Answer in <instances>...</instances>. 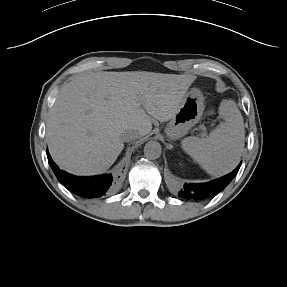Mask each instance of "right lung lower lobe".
Here are the masks:
<instances>
[{
  "mask_svg": "<svg viewBox=\"0 0 287 287\" xmlns=\"http://www.w3.org/2000/svg\"><path fill=\"white\" fill-rule=\"evenodd\" d=\"M48 162L60 183L69 191L86 198H99L113 192L115 181L111 175L77 177L59 169L47 152Z\"/></svg>",
  "mask_w": 287,
  "mask_h": 287,
  "instance_id": "obj_1",
  "label": "right lung lower lobe"
}]
</instances>
